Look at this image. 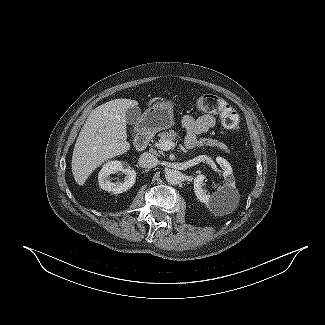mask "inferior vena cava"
<instances>
[{"label":"inferior vena cava","instance_id":"602c4592","mask_svg":"<svg viewBox=\"0 0 325 325\" xmlns=\"http://www.w3.org/2000/svg\"><path fill=\"white\" fill-rule=\"evenodd\" d=\"M139 163L145 168H154L158 165V159L151 153L145 152L140 155Z\"/></svg>","mask_w":325,"mask_h":325}]
</instances>
